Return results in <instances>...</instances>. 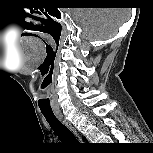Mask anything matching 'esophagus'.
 <instances>
[{
  "label": "esophagus",
  "mask_w": 153,
  "mask_h": 153,
  "mask_svg": "<svg viewBox=\"0 0 153 153\" xmlns=\"http://www.w3.org/2000/svg\"><path fill=\"white\" fill-rule=\"evenodd\" d=\"M57 116L66 126H68L75 133L79 140L82 141L81 136L77 133L76 129L69 123V121L61 113H57Z\"/></svg>",
  "instance_id": "obj_1"
}]
</instances>
